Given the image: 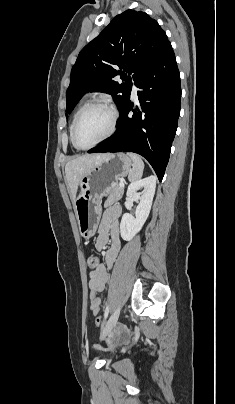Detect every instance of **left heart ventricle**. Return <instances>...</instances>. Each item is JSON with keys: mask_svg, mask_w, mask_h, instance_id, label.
Returning a JSON list of instances; mask_svg holds the SVG:
<instances>
[{"mask_svg": "<svg viewBox=\"0 0 235 404\" xmlns=\"http://www.w3.org/2000/svg\"><path fill=\"white\" fill-rule=\"evenodd\" d=\"M111 113L104 107L89 110L81 119L76 140L81 146H89L101 139L110 129Z\"/></svg>", "mask_w": 235, "mask_h": 404, "instance_id": "left-heart-ventricle-1", "label": "left heart ventricle"}]
</instances>
